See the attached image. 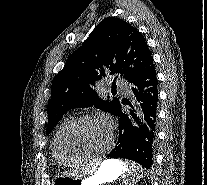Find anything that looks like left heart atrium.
<instances>
[{"label": "left heart atrium", "instance_id": "39dd6f15", "mask_svg": "<svg viewBox=\"0 0 207 185\" xmlns=\"http://www.w3.org/2000/svg\"><path fill=\"white\" fill-rule=\"evenodd\" d=\"M104 122H106L109 125V122L107 120H104Z\"/></svg>", "mask_w": 207, "mask_h": 185}]
</instances>
